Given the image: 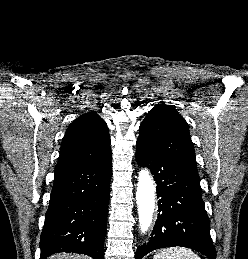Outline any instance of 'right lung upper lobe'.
Returning <instances> with one entry per match:
<instances>
[{"instance_id":"1","label":"right lung upper lobe","mask_w":248,"mask_h":259,"mask_svg":"<svg viewBox=\"0 0 248 259\" xmlns=\"http://www.w3.org/2000/svg\"><path fill=\"white\" fill-rule=\"evenodd\" d=\"M110 152V136L106 123L95 112H88L75 119L68 127L55 169L95 161Z\"/></svg>"}]
</instances>
